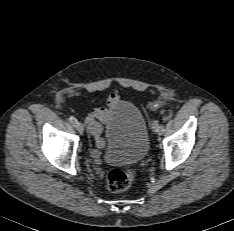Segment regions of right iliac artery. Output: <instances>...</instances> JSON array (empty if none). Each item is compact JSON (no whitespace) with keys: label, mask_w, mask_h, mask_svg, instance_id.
<instances>
[{"label":"right iliac artery","mask_w":234,"mask_h":231,"mask_svg":"<svg viewBox=\"0 0 234 231\" xmlns=\"http://www.w3.org/2000/svg\"><path fill=\"white\" fill-rule=\"evenodd\" d=\"M69 121H70V123L73 125V126H77V124H78V121H77V119L74 117V116H70L69 117Z\"/></svg>","instance_id":"1"}]
</instances>
